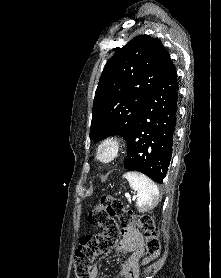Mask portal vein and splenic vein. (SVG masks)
I'll return each mask as SVG.
<instances>
[{"instance_id":"portal-vein-and-splenic-vein-1","label":"portal vein and splenic vein","mask_w":221,"mask_h":278,"mask_svg":"<svg viewBox=\"0 0 221 278\" xmlns=\"http://www.w3.org/2000/svg\"><path fill=\"white\" fill-rule=\"evenodd\" d=\"M125 196L131 201V196L129 194L126 193ZM133 200H134V198H133Z\"/></svg>"}]
</instances>
